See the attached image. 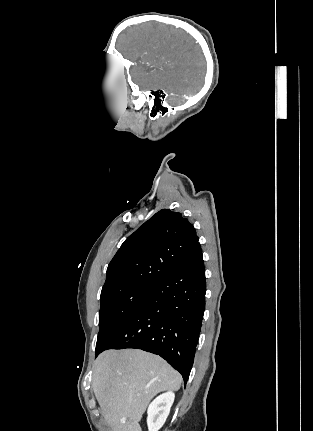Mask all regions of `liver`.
<instances>
[{
  "label": "liver",
  "mask_w": 313,
  "mask_h": 431,
  "mask_svg": "<svg viewBox=\"0 0 313 431\" xmlns=\"http://www.w3.org/2000/svg\"><path fill=\"white\" fill-rule=\"evenodd\" d=\"M180 386L176 370L142 350H108L93 365L92 388L112 431H141L139 422L152 398Z\"/></svg>",
  "instance_id": "obj_1"
}]
</instances>
